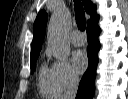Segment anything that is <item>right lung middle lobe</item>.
Returning a JSON list of instances; mask_svg holds the SVG:
<instances>
[{
  "label": "right lung middle lobe",
  "instance_id": "dd1d6c3e",
  "mask_svg": "<svg viewBox=\"0 0 128 99\" xmlns=\"http://www.w3.org/2000/svg\"><path fill=\"white\" fill-rule=\"evenodd\" d=\"M37 58H38V55L37 56H34V57H31V65H30L31 66V73L34 72Z\"/></svg>",
  "mask_w": 128,
  "mask_h": 99
}]
</instances>
